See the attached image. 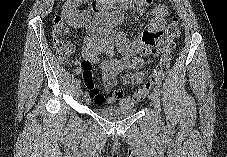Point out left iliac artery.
<instances>
[{
	"mask_svg": "<svg viewBox=\"0 0 227 157\" xmlns=\"http://www.w3.org/2000/svg\"><path fill=\"white\" fill-rule=\"evenodd\" d=\"M154 92H156L157 94H161V89H160V87L159 86H156L155 88H154Z\"/></svg>",
	"mask_w": 227,
	"mask_h": 157,
	"instance_id": "left-iliac-artery-1",
	"label": "left iliac artery"
}]
</instances>
